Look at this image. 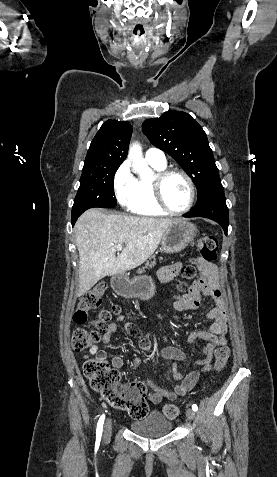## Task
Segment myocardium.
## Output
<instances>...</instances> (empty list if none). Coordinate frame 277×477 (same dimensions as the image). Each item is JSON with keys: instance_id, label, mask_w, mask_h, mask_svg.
Listing matches in <instances>:
<instances>
[{"instance_id": "f54148a6", "label": "myocardium", "mask_w": 277, "mask_h": 477, "mask_svg": "<svg viewBox=\"0 0 277 477\" xmlns=\"http://www.w3.org/2000/svg\"><path fill=\"white\" fill-rule=\"evenodd\" d=\"M172 175H180L184 177V179L187 181L189 186V193H190L189 200L187 205L181 210L171 209L166 203L164 198V194H163L164 183ZM152 188H153V194H154V198L157 205L166 214L174 215V216L183 215L187 213L194 205L195 198H196V187L191 176L184 170L174 168V169H164L159 172H156L152 178Z\"/></svg>"}]
</instances>
